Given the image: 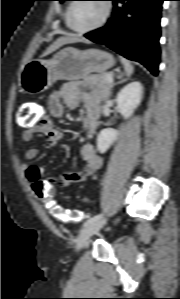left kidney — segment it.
I'll return each mask as SVG.
<instances>
[{
    "instance_id": "1",
    "label": "left kidney",
    "mask_w": 180,
    "mask_h": 299,
    "mask_svg": "<svg viewBox=\"0 0 180 299\" xmlns=\"http://www.w3.org/2000/svg\"><path fill=\"white\" fill-rule=\"evenodd\" d=\"M143 87L140 82H132L126 85L118 93L117 108L124 119H128L139 106L142 100ZM120 131L112 128L100 131L97 138V148L100 153H105L117 140Z\"/></svg>"
}]
</instances>
